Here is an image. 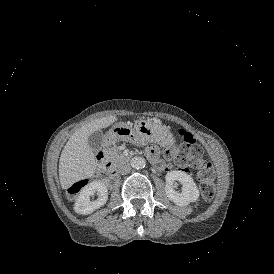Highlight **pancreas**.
I'll list each match as a JSON object with an SVG mask.
<instances>
[{
	"instance_id": "1",
	"label": "pancreas",
	"mask_w": 274,
	"mask_h": 274,
	"mask_svg": "<svg viewBox=\"0 0 274 274\" xmlns=\"http://www.w3.org/2000/svg\"><path fill=\"white\" fill-rule=\"evenodd\" d=\"M104 156L112 162L113 167L115 168H118L129 160L128 157L120 153L116 146L105 148Z\"/></svg>"
}]
</instances>
